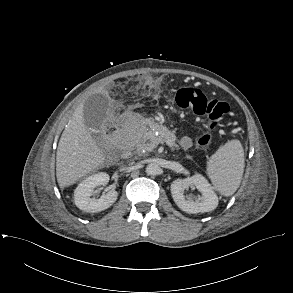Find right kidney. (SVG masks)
Listing matches in <instances>:
<instances>
[{
    "instance_id": "obj_1",
    "label": "right kidney",
    "mask_w": 293,
    "mask_h": 293,
    "mask_svg": "<svg viewBox=\"0 0 293 293\" xmlns=\"http://www.w3.org/2000/svg\"><path fill=\"white\" fill-rule=\"evenodd\" d=\"M108 182L109 175L105 172H99L87 177L74 191L75 205L80 210L89 213H97L109 208L117 200V191L110 190L99 199L90 198L94 188L106 185Z\"/></svg>"
}]
</instances>
